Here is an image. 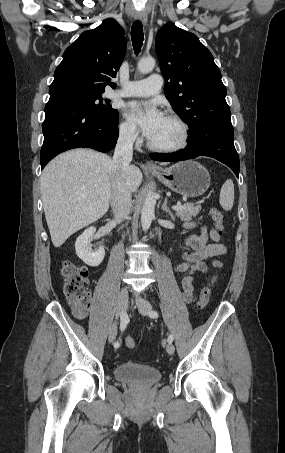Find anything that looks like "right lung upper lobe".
Instances as JSON below:
<instances>
[{"label":"right lung upper lobe","instance_id":"right-lung-upper-lobe-1","mask_svg":"<svg viewBox=\"0 0 285 453\" xmlns=\"http://www.w3.org/2000/svg\"><path fill=\"white\" fill-rule=\"evenodd\" d=\"M126 51L124 30L108 18L93 30L83 32L63 54L49 88L50 96L69 92L100 93L105 86L115 88L116 77Z\"/></svg>","mask_w":285,"mask_h":453}]
</instances>
